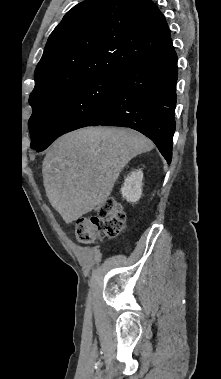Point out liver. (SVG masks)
<instances>
[{
  "instance_id": "obj_1",
  "label": "liver",
  "mask_w": 221,
  "mask_h": 379,
  "mask_svg": "<svg viewBox=\"0 0 221 379\" xmlns=\"http://www.w3.org/2000/svg\"><path fill=\"white\" fill-rule=\"evenodd\" d=\"M154 148L129 128L88 127L67 133L48 149L42 173L47 197L66 223L103 204L124 166Z\"/></svg>"
}]
</instances>
